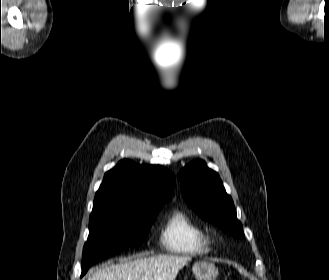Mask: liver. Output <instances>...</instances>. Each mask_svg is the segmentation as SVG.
<instances>
[{
    "label": "liver",
    "instance_id": "6515ba94",
    "mask_svg": "<svg viewBox=\"0 0 329 280\" xmlns=\"http://www.w3.org/2000/svg\"><path fill=\"white\" fill-rule=\"evenodd\" d=\"M190 260L189 256L177 255L126 259L94 271L88 280H175L178 272Z\"/></svg>",
    "mask_w": 329,
    "mask_h": 280
}]
</instances>
